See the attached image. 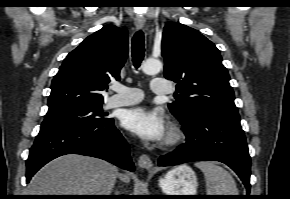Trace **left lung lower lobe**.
I'll use <instances>...</instances> for the list:
<instances>
[{
    "instance_id": "0a47b994",
    "label": "left lung lower lobe",
    "mask_w": 290,
    "mask_h": 199,
    "mask_svg": "<svg viewBox=\"0 0 290 199\" xmlns=\"http://www.w3.org/2000/svg\"><path fill=\"white\" fill-rule=\"evenodd\" d=\"M186 143L161 156L159 166H174L192 161L215 160L232 168L250 191L251 160L239 120L226 119L198 111L180 121Z\"/></svg>"
}]
</instances>
